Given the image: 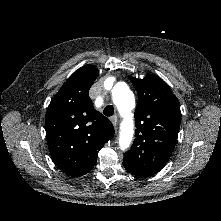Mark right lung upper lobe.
<instances>
[{"mask_svg":"<svg viewBox=\"0 0 221 221\" xmlns=\"http://www.w3.org/2000/svg\"><path fill=\"white\" fill-rule=\"evenodd\" d=\"M99 71L85 65L75 71L51 100L45 128L56 166L78 177L88 173L103 145L114 136L112 123L93 107L89 90Z\"/></svg>","mask_w":221,"mask_h":221,"instance_id":"1","label":"right lung upper lobe"}]
</instances>
